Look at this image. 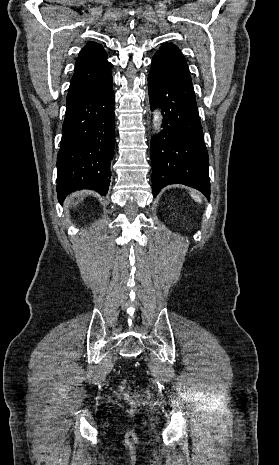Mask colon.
<instances>
[{
    "label": "colon",
    "mask_w": 279,
    "mask_h": 465,
    "mask_svg": "<svg viewBox=\"0 0 279 465\" xmlns=\"http://www.w3.org/2000/svg\"><path fill=\"white\" fill-rule=\"evenodd\" d=\"M122 389H124V386H122ZM125 396L127 399H132V395L129 393H125Z\"/></svg>",
    "instance_id": "obj_1"
}]
</instances>
